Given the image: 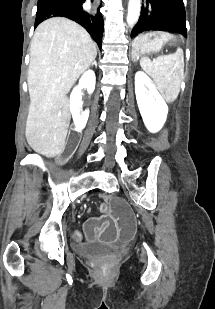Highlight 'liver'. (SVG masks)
<instances>
[{
	"label": "liver",
	"instance_id": "6515ba94",
	"mask_svg": "<svg viewBox=\"0 0 215 309\" xmlns=\"http://www.w3.org/2000/svg\"><path fill=\"white\" fill-rule=\"evenodd\" d=\"M96 54V42L74 20L53 16L37 26L30 44L25 136L40 155L63 152L71 118L67 92Z\"/></svg>",
	"mask_w": 215,
	"mask_h": 309
}]
</instances>
